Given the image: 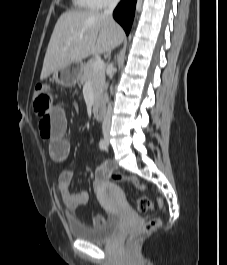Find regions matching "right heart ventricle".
Instances as JSON below:
<instances>
[{
	"mask_svg": "<svg viewBox=\"0 0 227 265\" xmlns=\"http://www.w3.org/2000/svg\"><path fill=\"white\" fill-rule=\"evenodd\" d=\"M74 6L80 10H92L95 9L93 0H72Z\"/></svg>",
	"mask_w": 227,
	"mask_h": 265,
	"instance_id": "1",
	"label": "right heart ventricle"
}]
</instances>
